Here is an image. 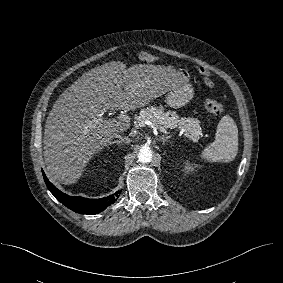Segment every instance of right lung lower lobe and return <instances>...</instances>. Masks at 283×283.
Segmentation results:
<instances>
[{
	"instance_id": "1",
	"label": "right lung lower lobe",
	"mask_w": 283,
	"mask_h": 283,
	"mask_svg": "<svg viewBox=\"0 0 283 283\" xmlns=\"http://www.w3.org/2000/svg\"><path fill=\"white\" fill-rule=\"evenodd\" d=\"M46 186L50 190V192L59 200L62 204H64L69 209L80 213V214H97L107 206L111 205L116 201L119 197V191L115 194L110 195L105 198L100 199H87L80 196H69L64 194L60 190H58L46 177L45 173L42 171Z\"/></svg>"
}]
</instances>
